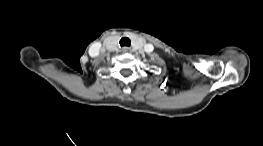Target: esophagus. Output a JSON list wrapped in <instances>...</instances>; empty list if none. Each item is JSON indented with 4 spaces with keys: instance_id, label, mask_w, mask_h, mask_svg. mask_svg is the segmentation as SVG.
Instances as JSON below:
<instances>
[{
    "instance_id": "34e87169",
    "label": "esophagus",
    "mask_w": 263,
    "mask_h": 146,
    "mask_svg": "<svg viewBox=\"0 0 263 146\" xmlns=\"http://www.w3.org/2000/svg\"><path fill=\"white\" fill-rule=\"evenodd\" d=\"M122 51H123L124 53H128V52H130V49H129L128 47H123V48H122Z\"/></svg>"
}]
</instances>
